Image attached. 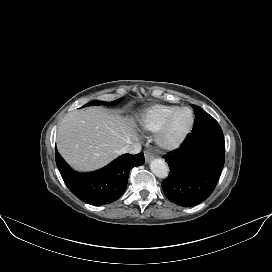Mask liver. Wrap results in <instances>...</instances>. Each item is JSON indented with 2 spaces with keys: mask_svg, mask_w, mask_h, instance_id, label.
I'll use <instances>...</instances> for the list:
<instances>
[{
  "mask_svg": "<svg viewBox=\"0 0 272 272\" xmlns=\"http://www.w3.org/2000/svg\"><path fill=\"white\" fill-rule=\"evenodd\" d=\"M136 141L133 121L96 107L68 113L57 132L59 153L80 171L105 166L119 155L124 145Z\"/></svg>",
  "mask_w": 272,
  "mask_h": 272,
  "instance_id": "1",
  "label": "liver"
}]
</instances>
